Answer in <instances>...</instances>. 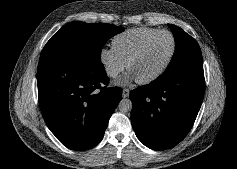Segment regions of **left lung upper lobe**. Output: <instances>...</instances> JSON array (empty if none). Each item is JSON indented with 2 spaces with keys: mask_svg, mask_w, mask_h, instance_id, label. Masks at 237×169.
I'll return each mask as SVG.
<instances>
[{
  "mask_svg": "<svg viewBox=\"0 0 237 169\" xmlns=\"http://www.w3.org/2000/svg\"><path fill=\"white\" fill-rule=\"evenodd\" d=\"M175 38V52L167 69L161 77L173 75L183 70L203 66L198 43L178 26L168 24Z\"/></svg>",
  "mask_w": 237,
  "mask_h": 169,
  "instance_id": "left-lung-upper-lobe-1",
  "label": "left lung upper lobe"
}]
</instances>
